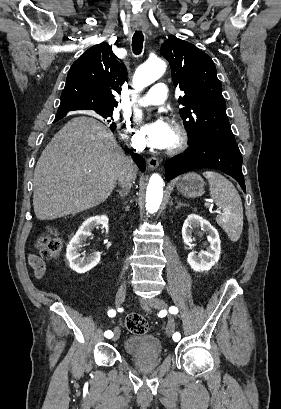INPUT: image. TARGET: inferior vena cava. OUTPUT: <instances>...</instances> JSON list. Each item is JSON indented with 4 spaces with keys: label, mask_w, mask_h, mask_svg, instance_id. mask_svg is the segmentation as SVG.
<instances>
[{
    "label": "inferior vena cava",
    "mask_w": 281,
    "mask_h": 409,
    "mask_svg": "<svg viewBox=\"0 0 281 409\" xmlns=\"http://www.w3.org/2000/svg\"><path fill=\"white\" fill-rule=\"evenodd\" d=\"M137 174V166L134 164L132 158H127L123 164V170L118 176V182L124 190L131 188Z\"/></svg>",
    "instance_id": "obj_1"
}]
</instances>
